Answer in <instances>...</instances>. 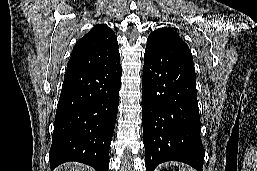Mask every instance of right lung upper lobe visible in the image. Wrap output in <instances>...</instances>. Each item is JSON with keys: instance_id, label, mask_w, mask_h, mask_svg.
<instances>
[{"instance_id": "cb5924a9", "label": "right lung upper lobe", "mask_w": 257, "mask_h": 171, "mask_svg": "<svg viewBox=\"0 0 257 171\" xmlns=\"http://www.w3.org/2000/svg\"><path fill=\"white\" fill-rule=\"evenodd\" d=\"M119 60L120 54L115 33L106 24H100L76 42L66 73L99 69Z\"/></svg>"}]
</instances>
